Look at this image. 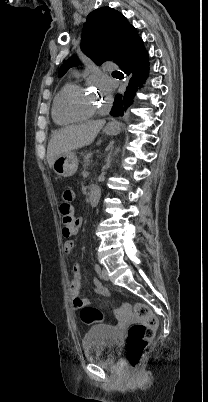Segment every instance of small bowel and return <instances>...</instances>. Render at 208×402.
I'll return each instance as SVG.
<instances>
[{
    "mask_svg": "<svg viewBox=\"0 0 208 402\" xmlns=\"http://www.w3.org/2000/svg\"><path fill=\"white\" fill-rule=\"evenodd\" d=\"M82 222L81 221H76L74 223V230L76 232H79L82 227ZM74 249V243L72 241L68 242L66 244V247L63 248V253L64 254H69L70 251ZM81 271L77 265H72L71 267V295L76 299L80 305H88L89 301L87 299H81L79 298L78 294L80 291L81 287ZM93 288L95 292L100 296L101 299H104L108 296L109 290L98 280L94 279L92 281ZM115 315L118 319H121L123 323H126L128 321L127 316L130 315V312L128 310V307L125 306L121 309L116 310Z\"/></svg>",
    "mask_w": 208,
    "mask_h": 402,
    "instance_id": "obj_1",
    "label": "small bowel"
}]
</instances>
